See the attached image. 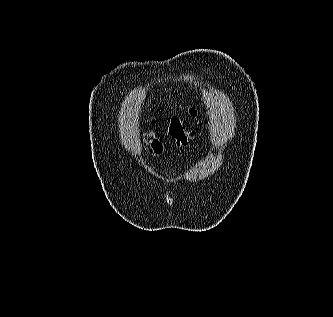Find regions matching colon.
<instances>
[{"label": "colon", "mask_w": 333, "mask_h": 317, "mask_svg": "<svg viewBox=\"0 0 333 317\" xmlns=\"http://www.w3.org/2000/svg\"><path fill=\"white\" fill-rule=\"evenodd\" d=\"M189 113L191 116H195L194 109H190ZM168 130L170 136L175 139L179 145H186L193 136V133L188 130L184 118L180 116L171 118ZM151 146L156 153H160L163 148L161 142L157 139H152Z\"/></svg>", "instance_id": "5ec220e1"}]
</instances>
